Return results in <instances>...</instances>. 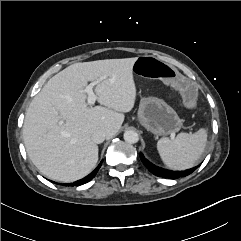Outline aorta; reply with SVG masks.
<instances>
[{
	"instance_id": "obj_1",
	"label": "aorta",
	"mask_w": 241,
	"mask_h": 241,
	"mask_svg": "<svg viewBox=\"0 0 241 241\" xmlns=\"http://www.w3.org/2000/svg\"><path fill=\"white\" fill-rule=\"evenodd\" d=\"M124 140L127 143L134 144L139 141V135L133 130H127L124 132Z\"/></svg>"
}]
</instances>
